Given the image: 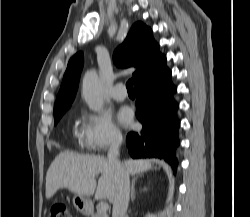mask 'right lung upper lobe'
<instances>
[{"instance_id": "cb5924a9", "label": "right lung upper lobe", "mask_w": 250, "mask_h": 217, "mask_svg": "<svg viewBox=\"0 0 250 217\" xmlns=\"http://www.w3.org/2000/svg\"><path fill=\"white\" fill-rule=\"evenodd\" d=\"M159 45L152 31L141 22L135 23L125 41L115 50L113 59L119 67H136L133 73L134 83L148 73L162 58ZM83 67V54H75L69 61L63 81L54 105V114L66 112L71 106L78 88Z\"/></svg>"}]
</instances>
